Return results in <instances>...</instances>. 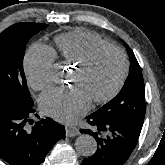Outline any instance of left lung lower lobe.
I'll list each match as a JSON object with an SVG mask.
<instances>
[{
  "mask_svg": "<svg viewBox=\"0 0 165 165\" xmlns=\"http://www.w3.org/2000/svg\"><path fill=\"white\" fill-rule=\"evenodd\" d=\"M86 119L91 129H81L80 132L92 135L98 148L81 165H123L137 144L142 126L90 116Z\"/></svg>",
  "mask_w": 165,
  "mask_h": 165,
  "instance_id": "0a47b994",
  "label": "left lung lower lobe"
}]
</instances>
